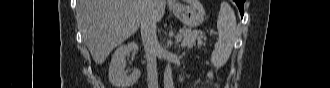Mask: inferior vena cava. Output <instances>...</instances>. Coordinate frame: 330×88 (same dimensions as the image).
I'll list each match as a JSON object with an SVG mask.
<instances>
[{
    "mask_svg": "<svg viewBox=\"0 0 330 88\" xmlns=\"http://www.w3.org/2000/svg\"><path fill=\"white\" fill-rule=\"evenodd\" d=\"M156 22L152 11H148L141 20V38L147 60L148 88H158L156 57L159 52V43Z\"/></svg>",
    "mask_w": 330,
    "mask_h": 88,
    "instance_id": "inferior-vena-cava-1",
    "label": "inferior vena cava"
}]
</instances>
